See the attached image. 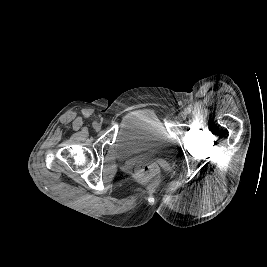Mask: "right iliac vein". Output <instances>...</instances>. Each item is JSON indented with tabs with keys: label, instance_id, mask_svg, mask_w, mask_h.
Instances as JSON below:
<instances>
[{
	"label": "right iliac vein",
	"instance_id": "1",
	"mask_svg": "<svg viewBox=\"0 0 267 267\" xmlns=\"http://www.w3.org/2000/svg\"><path fill=\"white\" fill-rule=\"evenodd\" d=\"M95 129H96V131H99V130L101 129L100 124H96V125H95Z\"/></svg>",
	"mask_w": 267,
	"mask_h": 267
}]
</instances>
